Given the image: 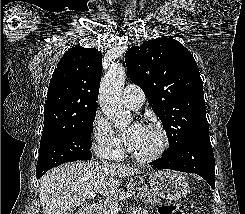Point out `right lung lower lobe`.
<instances>
[{"label": "right lung lower lobe", "instance_id": "obj_1", "mask_svg": "<svg viewBox=\"0 0 245 214\" xmlns=\"http://www.w3.org/2000/svg\"><path fill=\"white\" fill-rule=\"evenodd\" d=\"M42 175H43V174H39V175H36V176H37V178L39 179Z\"/></svg>", "mask_w": 245, "mask_h": 214}]
</instances>
